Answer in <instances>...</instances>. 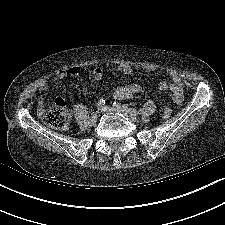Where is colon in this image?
<instances>
[{"label":"colon","mask_w":225,"mask_h":225,"mask_svg":"<svg viewBox=\"0 0 225 225\" xmlns=\"http://www.w3.org/2000/svg\"><path fill=\"white\" fill-rule=\"evenodd\" d=\"M65 102L63 99L56 100L55 105L42 109L40 112L42 120L55 129H65L68 126V115L64 110ZM162 115L164 118H168L171 115V108L165 106L162 109Z\"/></svg>","instance_id":"colon-1"}]
</instances>
